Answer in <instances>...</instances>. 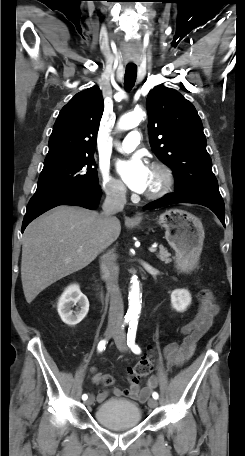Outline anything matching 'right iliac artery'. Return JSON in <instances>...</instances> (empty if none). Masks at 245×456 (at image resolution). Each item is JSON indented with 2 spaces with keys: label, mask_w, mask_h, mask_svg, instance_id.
Here are the masks:
<instances>
[{
  "label": "right iliac artery",
  "mask_w": 245,
  "mask_h": 456,
  "mask_svg": "<svg viewBox=\"0 0 245 456\" xmlns=\"http://www.w3.org/2000/svg\"><path fill=\"white\" fill-rule=\"evenodd\" d=\"M128 321H129V320L126 319V320H125V323H128ZM123 327H124V325H123ZM106 344H107V341H106V340H101V341L99 342V344H98V351L101 352V351L105 350ZM87 398H88L87 394H83V395H82V399H83V400H87Z\"/></svg>",
  "instance_id": "82829eb1"
}]
</instances>
